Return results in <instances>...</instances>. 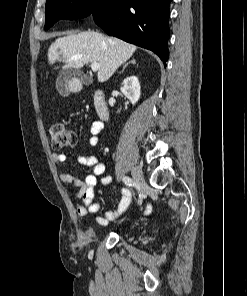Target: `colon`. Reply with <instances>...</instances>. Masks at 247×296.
Instances as JSON below:
<instances>
[{
    "label": "colon",
    "mask_w": 247,
    "mask_h": 296,
    "mask_svg": "<svg viewBox=\"0 0 247 296\" xmlns=\"http://www.w3.org/2000/svg\"><path fill=\"white\" fill-rule=\"evenodd\" d=\"M51 146L55 151L72 147L77 142V133L62 122H55L50 127Z\"/></svg>",
    "instance_id": "obj_1"
}]
</instances>
